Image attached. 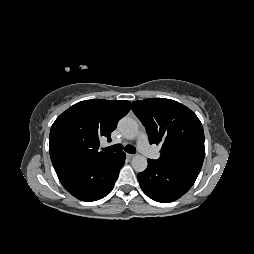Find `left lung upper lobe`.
<instances>
[{
	"mask_svg": "<svg viewBox=\"0 0 254 254\" xmlns=\"http://www.w3.org/2000/svg\"><path fill=\"white\" fill-rule=\"evenodd\" d=\"M151 144H160L155 160L163 166L200 172L204 154V131L198 117L181 103L164 98H149L132 103Z\"/></svg>",
	"mask_w": 254,
	"mask_h": 254,
	"instance_id": "left-lung-upper-lobe-1",
	"label": "left lung upper lobe"
}]
</instances>
